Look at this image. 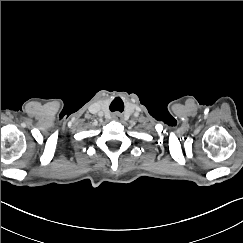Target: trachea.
I'll use <instances>...</instances> for the list:
<instances>
[{"label": "trachea", "mask_w": 243, "mask_h": 243, "mask_svg": "<svg viewBox=\"0 0 243 243\" xmlns=\"http://www.w3.org/2000/svg\"><path fill=\"white\" fill-rule=\"evenodd\" d=\"M111 111H120L122 112L124 109V104L121 99H115L110 105Z\"/></svg>", "instance_id": "3493384b"}]
</instances>
